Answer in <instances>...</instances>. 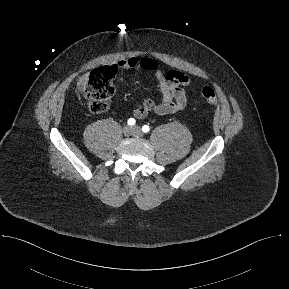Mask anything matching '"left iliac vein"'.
Instances as JSON below:
<instances>
[{
  "label": "left iliac vein",
  "mask_w": 289,
  "mask_h": 289,
  "mask_svg": "<svg viewBox=\"0 0 289 289\" xmlns=\"http://www.w3.org/2000/svg\"><path fill=\"white\" fill-rule=\"evenodd\" d=\"M132 129H133V135L134 136H137V137H142L143 136V133H142L140 127L134 126Z\"/></svg>",
  "instance_id": "4c4485c4"
}]
</instances>
